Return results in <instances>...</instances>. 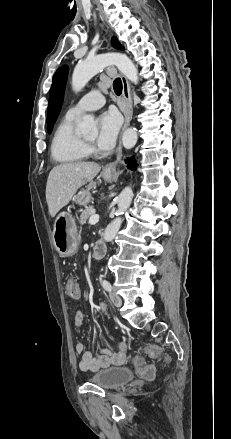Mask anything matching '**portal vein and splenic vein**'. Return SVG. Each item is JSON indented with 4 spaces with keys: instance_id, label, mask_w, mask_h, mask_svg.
<instances>
[{
    "instance_id": "portal-vein-and-splenic-vein-1",
    "label": "portal vein and splenic vein",
    "mask_w": 231,
    "mask_h": 439,
    "mask_svg": "<svg viewBox=\"0 0 231 439\" xmlns=\"http://www.w3.org/2000/svg\"><path fill=\"white\" fill-rule=\"evenodd\" d=\"M97 222H99V215L94 214L89 218V224L94 225Z\"/></svg>"
}]
</instances>
